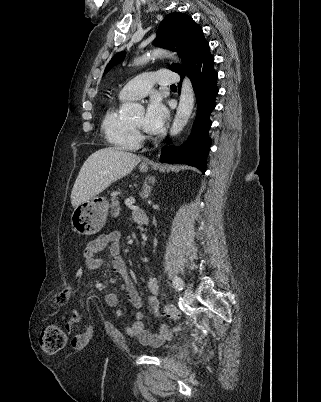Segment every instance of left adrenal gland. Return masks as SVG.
Returning <instances> with one entry per match:
<instances>
[{"label":"left adrenal gland","instance_id":"obj_1","mask_svg":"<svg viewBox=\"0 0 321 402\" xmlns=\"http://www.w3.org/2000/svg\"><path fill=\"white\" fill-rule=\"evenodd\" d=\"M148 180V182H147ZM155 183V178L150 177V178H146L144 185H143V191L141 193V197L142 198H148L150 192H151V186L149 184H154Z\"/></svg>","mask_w":321,"mask_h":402}]
</instances>
